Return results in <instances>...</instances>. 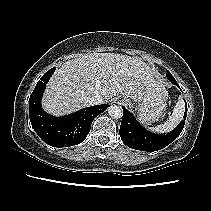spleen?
Returning a JSON list of instances; mask_svg holds the SVG:
<instances>
[{
  "mask_svg": "<svg viewBox=\"0 0 211 211\" xmlns=\"http://www.w3.org/2000/svg\"><path fill=\"white\" fill-rule=\"evenodd\" d=\"M185 105L182 100H179L174 107L172 115L165 123L157 125L156 127H150L149 129L157 133H167L173 130L182 120L184 114Z\"/></svg>",
  "mask_w": 211,
  "mask_h": 211,
  "instance_id": "1",
  "label": "spleen"
}]
</instances>
